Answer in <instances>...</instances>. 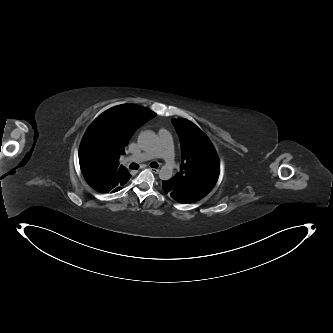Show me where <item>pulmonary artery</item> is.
<instances>
[{
	"label": "pulmonary artery",
	"mask_w": 333,
	"mask_h": 333,
	"mask_svg": "<svg viewBox=\"0 0 333 333\" xmlns=\"http://www.w3.org/2000/svg\"><path fill=\"white\" fill-rule=\"evenodd\" d=\"M159 145L153 152H143L132 155L125 159V162H146L154 158H162L166 167L173 168V141L170 132L166 129H160L158 132Z\"/></svg>",
	"instance_id": "pulmonary-artery-1"
}]
</instances>
